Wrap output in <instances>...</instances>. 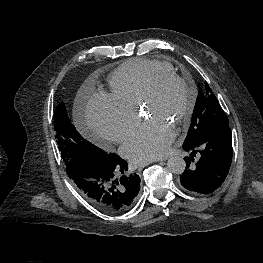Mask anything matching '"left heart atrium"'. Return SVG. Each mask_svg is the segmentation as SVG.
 <instances>
[{"mask_svg":"<svg viewBox=\"0 0 263 263\" xmlns=\"http://www.w3.org/2000/svg\"><path fill=\"white\" fill-rule=\"evenodd\" d=\"M174 137L170 124L160 118H150L133 131L121 152L131 162L143 164L165 156Z\"/></svg>","mask_w":263,"mask_h":263,"instance_id":"1","label":"left heart atrium"}]
</instances>
